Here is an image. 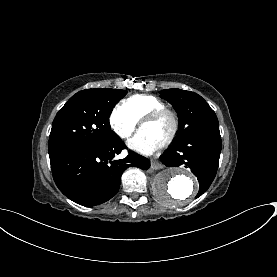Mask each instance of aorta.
<instances>
[{
    "label": "aorta",
    "mask_w": 277,
    "mask_h": 277,
    "mask_svg": "<svg viewBox=\"0 0 277 277\" xmlns=\"http://www.w3.org/2000/svg\"><path fill=\"white\" fill-rule=\"evenodd\" d=\"M155 195L169 205L186 203L198 191L194 175L184 169H164L153 180Z\"/></svg>",
    "instance_id": "aorta-1"
}]
</instances>
